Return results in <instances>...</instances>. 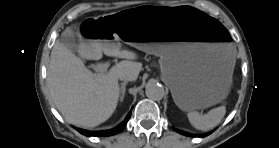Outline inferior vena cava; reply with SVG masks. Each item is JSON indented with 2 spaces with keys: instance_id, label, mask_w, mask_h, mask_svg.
<instances>
[{
  "instance_id": "obj_1",
  "label": "inferior vena cava",
  "mask_w": 279,
  "mask_h": 148,
  "mask_svg": "<svg viewBox=\"0 0 279 148\" xmlns=\"http://www.w3.org/2000/svg\"><path fill=\"white\" fill-rule=\"evenodd\" d=\"M119 79H120L121 81H124V82L131 81V78H130V77H127V76H121V77H119Z\"/></svg>"
}]
</instances>
